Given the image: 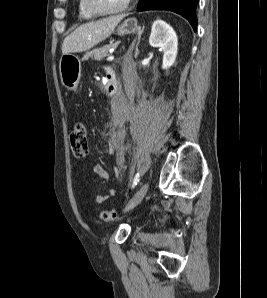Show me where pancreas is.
Wrapping results in <instances>:
<instances>
[{"mask_svg":"<svg viewBox=\"0 0 267 298\" xmlns=\"http://www.w3.org/2000/svg\"><path fill=\"white\" fill-rule=\"evenodd\" d=\"M114 44L104 45L102 47L96 48L86 54V58L91 57L95 60H101L106 56H109L110 48L114 47Z\"/></svg>","mask_w":267,"mask_h":298,"instance_id":"pancreas-1","label":"pancreas"}]
</instances>
